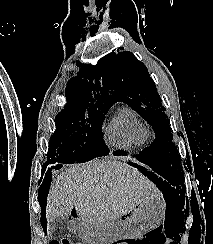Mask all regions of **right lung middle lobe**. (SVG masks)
Listing matches in <instances>:
<instances>
[{
    "label": "right lung middle lobe",
    "mask_w": 213,
    "mask_h": 244,
    "mask_svg": "<svg viewBox=\"0 0 213 244\" xmlns=\"http://www.w3.org/2000/svg\"><path fill=\"white\" fill-rule=\"evenodd\" d=\"M107 111L83 107L64 108L55 118L56 131L49 141L45 165L85 162L105 156L109 150L102 139V123Z\"/></svg>",
    "instance_id": "right-lung-middle-lobe-1"
}]
</instances>
